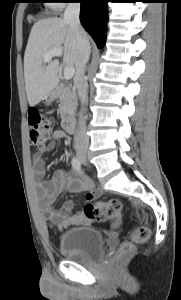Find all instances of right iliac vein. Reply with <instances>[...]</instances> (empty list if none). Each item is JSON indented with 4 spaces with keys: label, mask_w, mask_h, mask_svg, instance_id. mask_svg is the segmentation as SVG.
Wrapping results in <instances>:
<instances>
[{
    "label": "right iliac vein",
    "mask_w": 181,
    "mask_h": 300,
    "mask_svg": "<svg viewBox=\"0 0 181 300\" xmlns=\"http://www.w3.org/2000/svg\"><path fill=\"white\" fill-rule=\"evenodd\" d=\"M78 157L81 161H86L87 159V153H84V152H79L78 153Z\"/></svg>",
    "instance_id": "obj_1"
}]
</instances>
